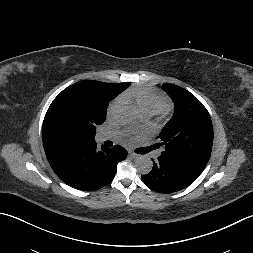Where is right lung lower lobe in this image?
Here are the masks:
<instances>
[{"mask_svg":"<svg viewBox=\"0 0 253 253\" xmlns=\"http://www.w3.org/2000/svg\"><path fill=\"white\" fill-rule=\"evenodd\" d=\"M57 176L67 185L85 191H94L110 183L117 164L124 160L127 151L120 147H101L96 143L63 148L46 155Z\"/></svg>","mask_w":253,"mask_h":253,"instance_id":"right-lung-lower-lobe-1","label":"right lung lower lobe"}]
</instances>
